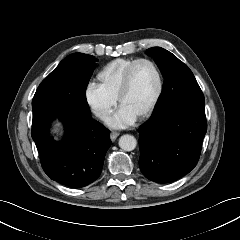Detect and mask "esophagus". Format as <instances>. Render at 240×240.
<instances>
[{"instance_id":"obj_1","label":"esophagus","mask_w":240,"mask_h":240,"mask_svg":"<svg viewBox=\"0 0 240 240\" xmlns=\"http://www.w3.org/2000/svg\"><path fill=\"white\" fill-rule=\"evenodd\" d=\"M119 135H120V134H119L118 132L112 131V132H111V135H110L111 140H112V141H115L116 138H117Z\"/></svg>"}]
</instances>
